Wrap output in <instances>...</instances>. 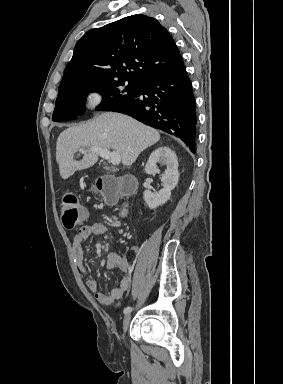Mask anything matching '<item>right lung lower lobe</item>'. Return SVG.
<instances>
[{
	"label": "right lung lower lobe",
	"instance_id": "1",
	"mask_svg": "<svg viewBox=\"0 0 283 384\" xmlns=\"http://www.w3.org/2000/svg\"><path fill=\"white\" fill-rule=\"evenodd\" d=\"M107 111L127 114L172 134L195 153L196 106L185 66L140 83L135 98L118 103Z\"/></svg>",
	"mask_w": 283,
	"mask_h": 384
}]
</instances>
